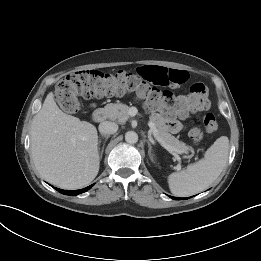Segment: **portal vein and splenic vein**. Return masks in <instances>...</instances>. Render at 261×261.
<instances>
[{
	"label": "portal vein and splenic vein",
	"instance_id": "portal-vein-and-splenic-vein-1",
	"mask_svg": "<svg viewBox=\"0 0 261 261\" xmlns=\"http://www.w3.org/2000/svg\"><path fill=\"white\" fill-rule=\"evenodd\" d=\"M148 126L150 127V131L153 133L154 137L156 138V140L169 152H171L176 158L177 160H180V157L178 155V152L175 148H173L172 146L166 144L161 138H159L157 136V130L155 127V124L152 121L148 122ZM178 169H180V166L178 167Z\"/></svg>",
	"mask_w": 261,
	"mask_h": 261
}]
</instances>
